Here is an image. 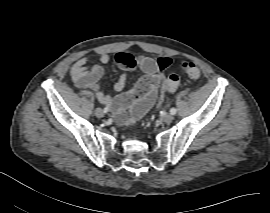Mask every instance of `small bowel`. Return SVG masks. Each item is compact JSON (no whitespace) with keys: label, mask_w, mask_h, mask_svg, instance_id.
Returning a JSON list of instances; mask_svg holds the SVG:
<instances>
[{"label":"small bowel","mask_w":270,"mask_h":213,"mask_svg":"<svg viewBox=\"0 0 270 213\" xmlns=\"http://www.w3.org/2000/svg\"><path fill=\"white\" fill-rule=\"evenodd\" d=\"M127 54H117L115 59L119 68L127 70L138 65L143 71L144 76L141 77L132 92H136L137 96L133 100H129L127 95L120 94L112 97L105 93L100 84V80L104 74V68L99 65L87 67V57L79 58L71 67L70 75L76 85L83 88H89L94 91L101 104L111 107L115 110V118L120 125H128L134 123L141 117L157 100V92L162 83V72L171 66V59L160 58L158 60L140 57L133 65H130L127 60ZM111 57L108 53L102 52L99 55V62L103 65L110 63ZM127 82V76L122 75L114 85L116 92H121ZM164 93H161L163 96ZM133 103L131 119H128L120 114V110Z\"/></svg>","instance_id":"1"}]
</instances>
